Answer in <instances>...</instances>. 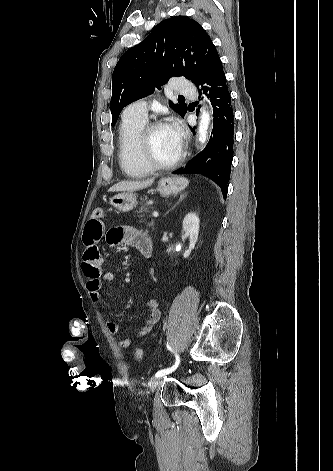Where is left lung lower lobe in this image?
Segmentation results:
<instances>
[{
	"label": "left lung lower lobe",
	"mask_w": 333,
	"mask_h": 471,
	"mask_svg": "<svg viewBox=\"0 0 333 471\" xmlns=\"http://www.w3.org/2000/svg\"><path fill=\"white\" fill-rule=\"evenodd\" d=\"M202 86L213 106V130L205 149L174 174H203L216 181L226 198L233 160L234 115L222 62L216 52L195 83ZM201 94V90H199ZM208 92V94H207ZM195 133V128L192 129Z\"/></svg>",
	"instance_id": "1"
}]
</instances>
